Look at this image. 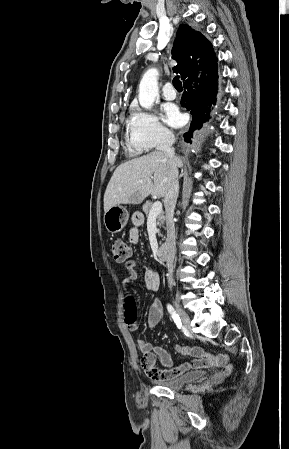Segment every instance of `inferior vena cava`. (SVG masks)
Wrapping results in <instances>:
<instances>
[{"label": "inferior vena cava", "mask_w": 289, "mask_h": 449, "mask_svg": "<svg viewBox=\"0 0 289 449\" xmlns=\"http://www.w3.org/2000/svg\"><path fill=\"white\" fill-rule=\"evenodd\" d=\"M175 137L172 133H167L162 139L158 149L162 151L168 158L169 174H168V191L164 197L166 210V229H167V267H168V283L172 286L171 275L173 271V263L176 248V235L174 224V210L179 194L178 169L174 149L172 147Z\"/></svg>", "instance_id": "inferior-vena-cava-1"}]
</instances>
